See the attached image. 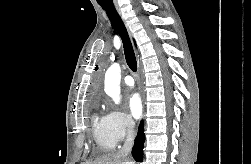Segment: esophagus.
Listing matches in <instances>:
<instances>
[{"label":"esophagus","instance_id":"34e87169","mask_svg":"<svg viewBox=\"0 0 251 164\" xmlns=\"http://www.w3.org/2000/svg\"><path fill=\"white\" fill-rule=\"evenodd\" d=\"M115 7H116V10L118 11V13L121 15V10H120V8H119V6H118V4H117L116 1H115ZM138 71H139V73H140V67H138ZM142 97L144 98L143 95H142Z\"/></svg>","mask_w":251,"mask_h":164}]
</instances>
